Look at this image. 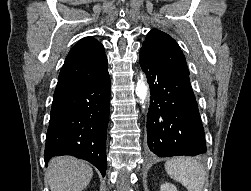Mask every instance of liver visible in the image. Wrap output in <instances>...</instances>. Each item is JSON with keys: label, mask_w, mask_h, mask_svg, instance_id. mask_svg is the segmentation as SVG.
Segmentation results:
<instances>
[{"label": "liver", "mask_w": 251, "mask_h": 191, "mask_svg": "<svg viewBox=\"0 0 251 191\" xmlns=\"http://www.w3.org/2000/svg\"><path fill=\"white\" fill-rule=\"evenodd\" d=\"M93 175L86 161L71 155L52 157L47 171L51 191H82Z\"/></svg>", "instance_id": "obj_1"}]
</instances>
